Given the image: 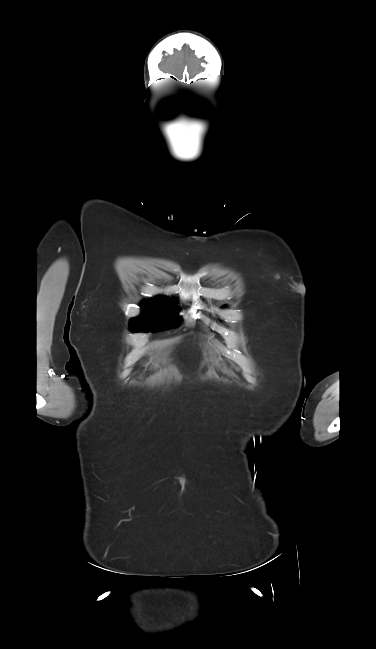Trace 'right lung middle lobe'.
<instances>
[{"mask_svg":"<svg viewBox=\"0 0 376 649\" xmlns=\"http://www.w3.org/2000/svg\"><path fill=\"white\" fill-rule=\"evenodd\" d=\"M179 308L167 297L160 296L156 299H147L142 303L143 314L131 319L130 325L133 332L151 330V332L165 331L179 325L177 317Z\"/></svg>","mask_w":376,"mask_h":649,"instance_id":"right-lung-middle-lobe-1","label":"right lung middle lobe"}]
</instances>
